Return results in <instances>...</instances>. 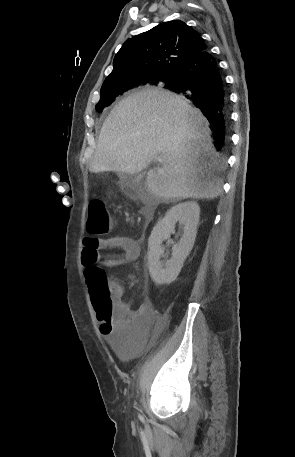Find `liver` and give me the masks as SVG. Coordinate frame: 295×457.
Here are the masks:
<instances>
[{
	"mask_svg": "<svg viewBox=\"0 0 295 457\" xmlns=\"http://www.w3.org/2000/svg\"><path fill=\"white\" fill-rule=\"evenodd\" d=\"M210 134L207 119L183 97L162 89L136 92L104 121L89 170L136 174L162 157V167L147 173L151 194L164 200L213 199L221 181Z\"/></svg>",
	"mask_w": 295,
	"mask_h": 457,
	"instance_id": "liver-1",
	"label": "liver"
}]
</instances>
